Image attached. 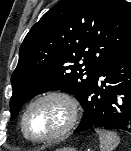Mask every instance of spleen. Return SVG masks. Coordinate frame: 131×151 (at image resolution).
<instances>
[{
	"label": "spleen",
	"mask_w": 131,
	"mask_h": 151,
	"mask_svg": "<svg viewBox=\"0 0 131 151\" xmlns=\"http://www.w3.org/2000/svg\"><path fill=\"white\" fill-rule=\"evenodd\" d=\"M95 132L99 136L100 151H113L118 146L120 138L115 132L99 128Z\"/></svg>",
	"instance_id": "obj_1"
}]
</instances>
